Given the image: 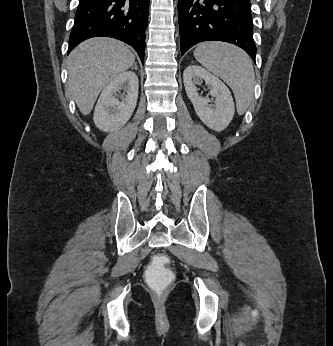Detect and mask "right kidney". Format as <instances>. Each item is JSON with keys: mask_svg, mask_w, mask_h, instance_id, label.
<instances>
[{"mask_svg": "<svg viewBox=\"0 0 333 346\" xmlns=\"http://www.w3.org/2000/svg\"><path fill=\"white\" fill-rule=\"evenodd\" d=\"M123 91L120 100L117 92ZM138 99V77L126 71L115 77L103 89L95 110L94 123L102 131H114L123 127L130 119Z\"/></svg>", "mask_w": 333, "mask_h": 346, "instance_id": "1", "label": "right kidney"}]
</instances>
